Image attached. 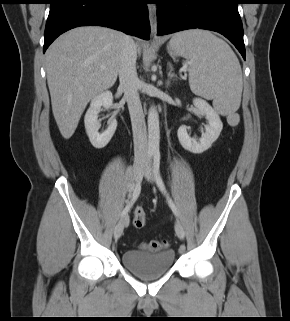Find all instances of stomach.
Segmentation results:
<instances>
[{
  "label": "stomach",
  "instance_id": "obj_1",
  "mask_svg": "<svg viewBox=\"0 0 290 321\" xmlns=\"http://www.w3.org/2000/svg\"><path fill=\"white\" fill-rule=\"evenodd\" d=\"M167 50L168 53L174 58L181 56L180 51L174 45H172L171 42H169L167 45Z\"/></svg>",
  "mask_w": 290,
  "mask_h": 321
}]
</instances>
